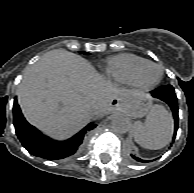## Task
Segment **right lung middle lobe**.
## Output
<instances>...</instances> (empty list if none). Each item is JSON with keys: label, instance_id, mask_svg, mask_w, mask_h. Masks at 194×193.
<instances>
[{"label": "right lung middle lobe", "instance_id": "right-lung-middle-lobe-1", "mask_svg": "<svg viewBox=\"0 0 194 193\" xmlns=\"http://www.w3.org/2000/svg\"><path fill=\"white\" fill-rule=\"evenodd\" d=\"M82 53H84V54H86V55L89 54V53H87V52H82Z\"/></svg>", "mask_w": 194, "mask_h": 193}]
</instances>
